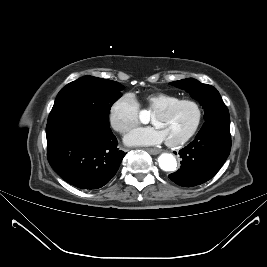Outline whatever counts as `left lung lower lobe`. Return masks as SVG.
I'll return each mask as SVG.
<instances>
[{"label":"left lung lower lobe","mask_w":267,"mask_h":267,"mask_svg":"<svg viewBox=\"0 0 267 267\" xmlns=\"http://www.w3.org/2000/svg\"><path fill=\"white\" fill-rule=\"evenodd\" d=\"M230 149L229 117L207 120L194 141L179 151L181 167L169 178L183 187L205 183L222 167Z\"/></svg>","instance_id":"1"}]
</instances>
